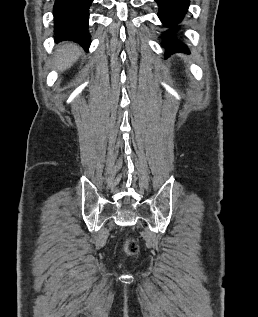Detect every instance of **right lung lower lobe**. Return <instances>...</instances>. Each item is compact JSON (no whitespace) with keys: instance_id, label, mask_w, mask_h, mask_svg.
I'll return each mask as SVG.
<instances>
[{"instance_id":"1","label":"right lung lower lobe","mask_w":258,"mask_h":317,"mask_svg":"<svg viewBox=\"0 0 258 317\" xmlns=\"http://www.w3.org/2000/svg\"><path fill=\"white\" fill-rule=\"evenodd\" d=\"M93 0H55V41H74L88 50L91 39L87 30L89 7Z\"/></svg>"}]
</instances>
